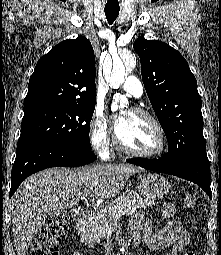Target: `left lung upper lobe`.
I'll use <instances>...</instances> for the list:
<instances>
[{"label":"left lung upper lobe","instance_id":"5c2ea615","mask_svg":"<svg viewBox=\"0 0 221 255\" xmlns=\"http://www.w3.org/2000/svg\"><path fill=\"white\" fill-rule=\"evenodd\" d=\"M133 48L140 57L142 80L168 141L169 161L206 152L201 97L185 58L159 40L139 37Z\"/></svg>","mask_w":221,"mask_h":255}]
</instances>
